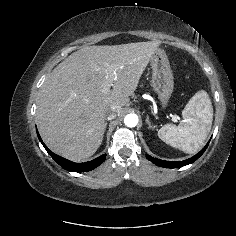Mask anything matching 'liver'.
Listing matches in <instances>:
<instances>
[{"instance_id": "6515ba94", "label": "liver", "mask_w": 236, "mask_h": 236, "mask_svg": "<svg viewBox=\"0 0 236 236\" xmlns=\"http://www.w3.org/2000/svg\"><path fill=\"white\" fill-rule=\"evenodd\" d=\"M159 45L84 46L57 65L40 90L36 110L48 148L75 162L92 156L103 140L106 110L115 105L120 112L129 103ZM106 83L112 89L103 92Z\"/></svg>"}]
</instances>
